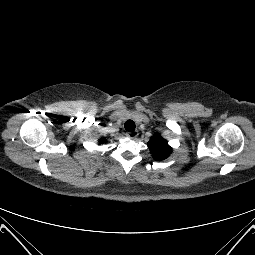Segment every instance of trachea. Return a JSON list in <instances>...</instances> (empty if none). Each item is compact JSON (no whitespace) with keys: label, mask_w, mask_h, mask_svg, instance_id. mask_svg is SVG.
Instances as JSON below:
<instances>
[{"label":"trachea","mask_w":255,"mask_h":255,"mask_svg":"<svg viewBox=\"0 0 255 255\" xmlns=\"http://www.w3.org/2000/svg\"><path fill=\"white\" fill-rule=\"evenodd\" d=\"M124 127L128 132H133L135 130V123L132 120H127Z\"/></svg>","instance_id":"trachea-1"}]
</instances>
